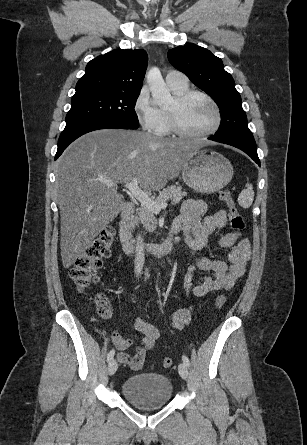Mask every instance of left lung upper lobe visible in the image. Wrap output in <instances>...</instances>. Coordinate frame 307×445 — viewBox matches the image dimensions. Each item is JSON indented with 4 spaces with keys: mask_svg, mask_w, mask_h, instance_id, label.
Instances as JSON below:
<instances>
[{
    "mask_svg": "<svg viewBox=\"0 0 307 445\" xmlns=\"http://www.w3.org/2000/svg\"><path fill=\"white\" fill-rule=\"evenodd\" d=\"M168 59L217 103L221 125L214 136L253 137L235 82L220 58L203 47L188 44L169 50Z\"/></svg>",
    "mask_w": 307,
    "mask_h": 445,
    "instance_id": "left-lung-upper-lobe-1",
    "label": "left lung upper lobe"
}]
</instances>
